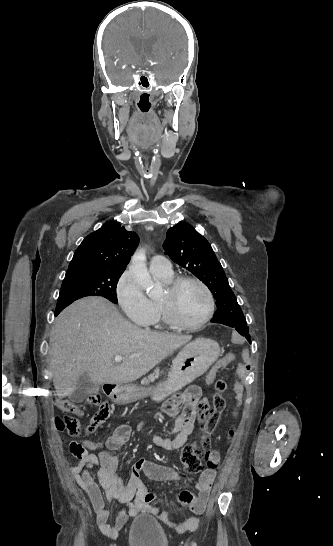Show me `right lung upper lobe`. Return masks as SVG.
<instances>
[{"label":"right lung upper lobe","mask_w":333,"mask_h":546,"mask_svg":"<svg viewBox=\"0 0 333 546\" xmlns=\"http://www.w3.org/2000/svg\"><path fill=\"white\" fill-rule=\"evenodd\" d=\"M138 243L139 237L135 232L108 221L82 241L66 274L97 269L125 270Z\"/></svg>","instance_id":"1"}]
</instances>
